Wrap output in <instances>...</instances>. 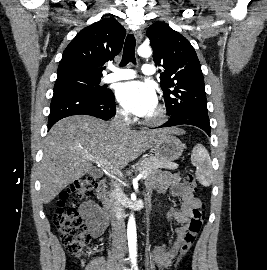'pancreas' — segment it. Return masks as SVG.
Wrapping results in <instances>:
<instances>
[{
  "label": "pancreas",
  "mask_w": 267,
  "mask_h": 270,
  "mask_svg": "<svg viewBox=\"0 0 267 270\" xmlns=\"http://www.w3.org/2000/svg\"><path fill=\"white\" fill-rule=\"evenodd\" d=\"M177 167L178 165L173 162L165 161L155 156H149L141 160L135 166H133V169H136L140 173H144L147 174V176H149L153 172L158 171V169L160 168L174 170L177 169Z\"/></svg>",
  "instance_id": "pancreas-1"
}]
</instances>
